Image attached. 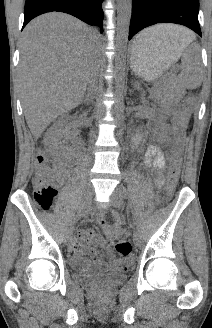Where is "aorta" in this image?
<instances>
[{"instance_id": "762f6f07", "label": "aorta", "mask_w": 212, "mask_h": 328, "mask_svg": "<svg viewBox=\"0 0 212 328\" xmlns=\"http://www.w3.org/2000/svg\"><path fill=\"white\" fill-rule=\"evenodd\" d=\"M132 11V0H118V15H117V35L116 46L117 56L115 61L116 69V93L117 103L115 107L116 116L122 118L124 109L123 103V87L126 70V57L124 51L128 41L129 26Z\"/></svg>"}]
</instances>
